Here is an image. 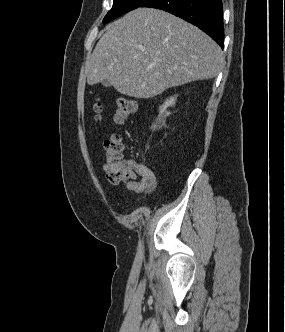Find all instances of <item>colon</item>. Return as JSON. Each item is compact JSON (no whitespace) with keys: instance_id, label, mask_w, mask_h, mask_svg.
Segmentation results:
<instances>
[{"instance_id":"5ec220e1","label":"colon","mask_w":285,"mask_h":332,"mask_svg":"<svg viewBox=\"0 0 285 332\" xmlns=\"http://www.w3.org/2000/svg\"><path fill=\"white\" fill-rule=\"evenodd\" d=\"M136 102L128 97H120L117 100L115 120L118 123L124 122L136 111ZM95 119L100 120L101 104L96 102L93 105ZM125 149L124 142L118 134H113L104 142V171L108 181L112 184H122L134 180L135 171L131 162L123 157Z\"/></svg>"}]
</instances>
